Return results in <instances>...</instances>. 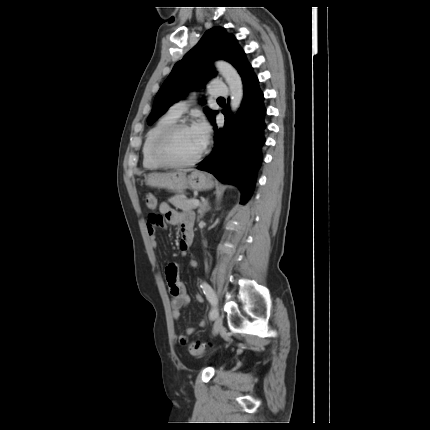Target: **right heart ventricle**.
<instances>
[{"mask_svg":"<svg viewBox=\"0 0 430 430\" xmlns=\"http://www.w3.org/2000/svg\"><path fill=\"white\" fill-rule=\"evenodd\" d=\"M178 117L171 112L165 113L156 123L147 131L142 145V163L146 169H160L164 167L161 163L154 159L151 153L153 141L157 135L166 127L176 122Z\"/></svg>","mask_w":430,"mask_h":430,"instance_id":"obj_1","label":"right heart ventricle"}]
</instances>
